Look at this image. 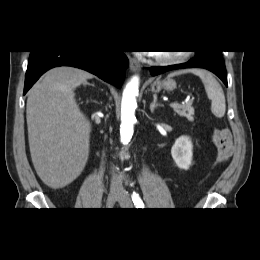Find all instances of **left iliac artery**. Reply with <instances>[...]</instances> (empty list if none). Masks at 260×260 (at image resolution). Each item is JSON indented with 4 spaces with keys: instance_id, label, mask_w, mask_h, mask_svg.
I'll list each match as a JSON object with an SVG mask.
<instances>
[{
    "instance_id": "obj_1",
    "label": "left iliac artery",
    "mask_w": 260,
    "mask_h": 260,
    "mask_svg": "<svg viewBox=\"0 0 260 260\" xmlns=\"http://www.w3.org/2000/svg\"><path fill=\"white\" fill-rule=\"evenodd\" d=\"M132 200L134 202V204L138 207V208H144V204L142 199L140 198L138 193H133L132 195Z\"/></svg>"
}]
</instances>
